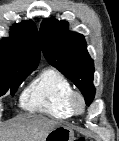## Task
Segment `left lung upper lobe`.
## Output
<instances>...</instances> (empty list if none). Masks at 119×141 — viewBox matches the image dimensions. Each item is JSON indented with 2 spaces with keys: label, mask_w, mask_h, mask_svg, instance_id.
Segmentation results:
<instances>
[{
  "label": "left lung upper lobe",
  "mask_w": 119,
  "mask_h": 141,
  "mask_svg": "<svg viewBox=\"0 0 119 141\" xmlns=\"http://www.w3.org/2000/svg\"><path fill=\"white\" fill-rule=\"evenodd\" d=\"M42 51L47 61L69 78L90 105L95 96L94 63L86 49L84 36L68 30V23L44 19L40 26Z\"/></svg>",
  "instance_id": "left-lung-upper-lobe-1"
}]
</instances>
